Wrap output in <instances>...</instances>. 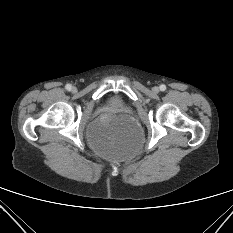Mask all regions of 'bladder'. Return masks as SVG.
<instances>
[{
	"label": "bladder",
	"instance_id": "31cf9c89",
	"mask_svg": "<svg viewBox=\"0 0 233 233\" xmlns=\"http://www.w3.org/2000/svg\"><path fill=\"white\" fill-rule=\"evenodd\" d=\"M133 124L122 126H106L90 134V142L94 150L107 159H126L133 156L139 146V142H133L131 138H124L120 135L121 130L129 131ZM136 131V126H134ZM140 137V136H139Z\"/></svg>",
	"mask_w": 233,
	"mask_h": 233
}]
</instances>
